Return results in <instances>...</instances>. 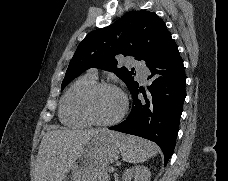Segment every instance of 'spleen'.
<instances>
[{
    "mask_svg": "<svg viewBox=\"0 0 228 181\" xmlns=\"http://www.w3.org/2000/svg\"><path fill=\"white\" fill-rule=\"evenodd\" d=\"M158 151L159 147L155 143L130 135V137H126V143L121 149V155L123 161L136 165V163H144L147 159L156 157Z\"/></svg>",
    "mask_w": 228,
    "mask_h": 181,
    "instance_id": "3e777b00",
    "label": "spleen"
}]
</instances>
